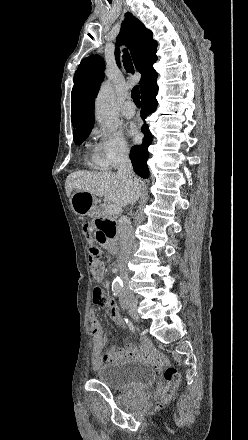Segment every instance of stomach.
Returning <instances> with one entry per match:
<instances>
[{
	"label": "stomach",
	"instance_id": "0dacf381",
	"mask_svg": "<svg viewBox=\"0 0 248 440\" xmlns=\"http://www.w3.org/2000/svg\"><path fill=\"white\" fill-rule=\"evenodd\" d=\"M96 202L95 195L83 190H75L71 197L72 209L78 215L89 213ZM101 215L106 216L107 212L102 211ZM93 230L97 232V246H114V232L118 231L115 218H96Z\"/></svg>",
	"mask_w": 248,
	"mask_h": 440
}]
</instances>
